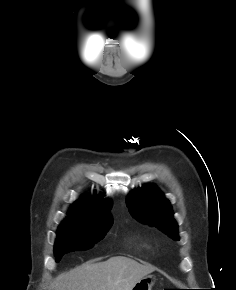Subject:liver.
Instances as JSON below:
<instances>
[{
  "label": "liver",
  "mask_w": 236,
  "mask_h": 290,
  "mask_svg": "<svg viewBox=\"0 0 236 290\" xmlns=\"http://www.w3.org/2000/svg\"><path fill=\"white\" fill-rule=\"evenodd\" d=\"M154 271L150 265L117 256L104 262H87L58 275L54 290H132L143 277Z\"/></svg>",
  "instance_id": "liver-1"
}]
</instances>
